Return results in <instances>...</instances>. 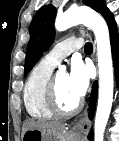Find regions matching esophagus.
Listing matches in <instances>:
<instances>
[{
    "instance_id": "esophagus-1",
    "label": "esophagus",
    "mask_w": 119,
    "mask_h": 141,
    "mask_svg": "<svg viewBox=\"0 0 119 141\" xmlns=\"http://www.w3.org/2000/svg\"><path fill=\"white\" fill-rule=\"evenodd\" d=\"M90 127L91 122L88 117V111L86 110L82 117L75 123L74 129L81 133L87 134L90 130Z\"/></svg>"
}]
</instances>
